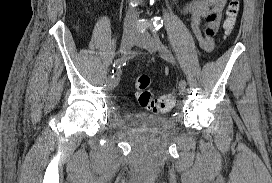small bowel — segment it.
I'll return each mask as SVG.
<instances>
[{
  "instance_id": "c3829d8e",
  "label": "small bowel",
  "mask_w": 272,
  "mask_h": 183,
  "mask_svg": "<svg viewBox=\"0 0 272 183\" xmlns=\"http://www.w3.org/2000/svg\"><path fill=\"white\" fill-rule=\"evenodd\" d=\"M227 0H190L182 6V12L188 17L191 31L205 52L214 49L213 36L217 35L222 11ZM205 20V24H202Z\"/></svg>"
}]
</instances>
